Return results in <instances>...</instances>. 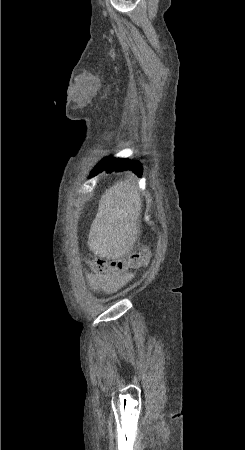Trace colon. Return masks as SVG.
<instances>
[{
  "mask_svg": "<svg viewBox=\"0 0 245 450\" xmlns=\"http://www.w3.org/2000/svg\"><path fill=\"white\" fill-rule=\"evenodd\" d=\"M150 252L148 249H137L128 258H118L108 263L102 258H92L89 261L90 268L94 274H104L107 271L124 273L128 268H141L149 260Z\"/></svg>",
  "mask_w": 245,
  "mask_h": 450,
  "instance_id": "1",
  "label": "colon"
}]
</instances>
